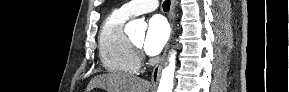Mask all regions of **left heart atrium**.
I'll return each instance as SVG.
<instances>
[{"mask_svg": "<svg viewBox=\"0 0 289 92\" xmlns=\"http://www.w3.org/2000/svg\"><path fill=\"white\" fill-rule=\"evenodd\" d=\"M169 37V27L161 15H155L148 21L144 39V50L148 55L155 56L161 52Z\"/></svg>", "mask_w": 289, "mask_h": 92, "instance_id": "1", "label": "left heart atrium"}]
</instances>
